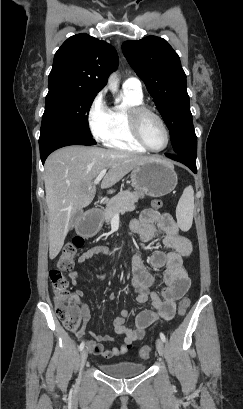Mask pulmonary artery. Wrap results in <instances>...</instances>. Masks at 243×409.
I'll return each instance as SVG.
<instances>
[{
    "instance_id": "e3ab8cb5",
    "label": "pulmonary artery",
    "mask_w": 243,
    "mask_h": 409,
    "mask_svg": "<svg viewBox=\"0 0 243 409\" xmlns=\"http://www.w3.org/2000/svg\"><path fill=\"white\" fill-rule=\"evenodd\" d=\"M123 89L142 94L141 81L136 77H129L123 82Z\"/></svg>"
}]
</instances>
